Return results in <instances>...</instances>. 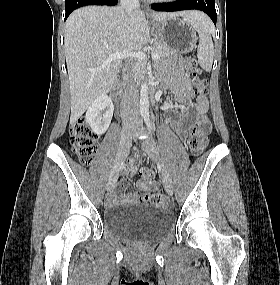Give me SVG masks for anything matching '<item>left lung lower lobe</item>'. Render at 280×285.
Here are the masks:
<instances>
[{
  "label": "left lung lower lobe",
  "mask_w": 280,
  "mask_h": 285,
  "mask_svg": "<svg viewBox=\"0 0 280 285\" xmlns=\"http://www.w3.org/2000/svg\"><path fill=\"white\" fill-rule=\"evenodd\" d=\"M156 11H181L197 9L204 11L216 25V9L214 0H176L172 3L152 4Z\"/></svg>",
  "instance_id": "0a47b994"
}]
</instances>
